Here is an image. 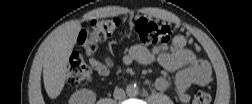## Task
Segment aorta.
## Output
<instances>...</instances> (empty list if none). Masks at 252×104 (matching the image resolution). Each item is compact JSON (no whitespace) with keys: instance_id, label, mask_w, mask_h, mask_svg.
<instances>
[{"instance_id":"aorta-1","label":"aorta","mask_w":252,"mask_h":104,"mask_svg":"<svg viewBox=\"0 0 252 104\" xmlns=\"http://www.w3.org/2000/svg\"><path fill=\"white\" fill-rule=\"evenodd\" d=\"M126 94L129 97H136L139 94V87L136 84L127 85Z\"/></svg>"}]
</instances>
